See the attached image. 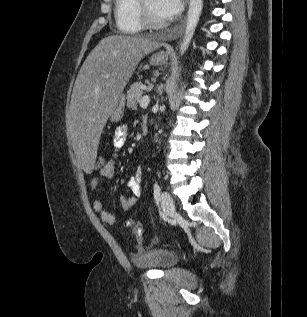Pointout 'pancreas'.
Here are the masks:
<instances>
[{"mask_svg":"<svg viewBox=\"0 0 307 317\" xmlns=\"http://www.w3.org/2000/svg\"><path fill=\"white\" fill-rule=\"evenodd\" d=\"M143 84L141 81H137L132 84L127 91V107L136 110L137 104L142 98L144 92L142 90Z\"/></svg>","mask_w":307,"mask_h":317,"instance_id":"obj_1","label":"pancreas"}]
</instances>
